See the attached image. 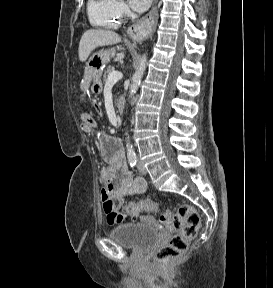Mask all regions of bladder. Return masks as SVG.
<instances>
[{
  "label": "bladder",
  "mask_w": 273,
  "mask_h": 288,
  "mask_svg": "<svg viewBox=\"0 0 273 288\" xmlns=\"http://www.w3.org/2000/svg\"><path fill=\"white\" fill-rule=\"evenodd\" d=\"M109 237L119 245L138 252H144L160 239V232L154 226L141 223H126L113 228Z\"/></svg>",
  "instance_id": "1"
}]
</instances>
